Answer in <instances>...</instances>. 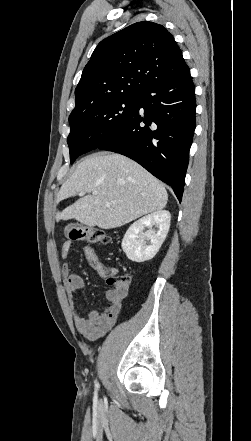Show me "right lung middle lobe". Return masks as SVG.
Here are the masks:
<instances>
[{"instance_id": "dd1d6c3e", "label": "right lung middle lobe", "mask_w": 251, "mask_h": 441, "mask_svg": "<svg viewBox=\"0 0 251 441\" xmlns=\"http://www.w3.org/2000/svg\"><path fill=\"white\" fill-rule=\"evenodd\" d=\"M140 95H120L90 102L69 116L67 143L71 164L118 133L136 112Z\"/></svg>"}]
</instances>
